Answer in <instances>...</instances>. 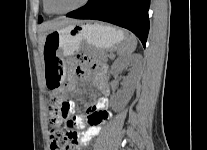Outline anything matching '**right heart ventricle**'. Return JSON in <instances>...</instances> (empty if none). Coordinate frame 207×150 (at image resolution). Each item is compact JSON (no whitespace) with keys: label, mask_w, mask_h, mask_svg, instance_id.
<instances>
[{"label":"right heart ventricle","mask_w":207,"mask_h":150,"mask_svg":"<svg viewBox=\"0 0 207 150\" xmlns=\"http://www.w3.org/2000/svg\"><path fill=\"white\" fill-rule=\"evenodd\" d=\"M43 9L46 14H52L46 7L45 0H43Z\"/></svg>","instance_id":"1"}]
</instances>
